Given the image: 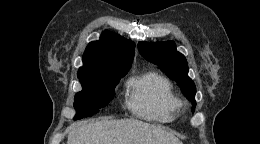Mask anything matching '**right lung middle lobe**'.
Segmentation results:
<instances>
[{
    "label": "right lung middle lobe",
    "instance_id": "dd1d6c3e",
    "mask_svg": "<svg viewBox=\"0 0 260 144\" xmlns=\"http://www.w3.org/2000/svg\"><path fill=\"white\" fill-rule=\"evenodd\" d=\"M128 71L108 72L78 76L82 85V91L76 93L74 119L90 117L100 108L109 104L114 96V89L121 77Z\"/></svg>",
    "mask_w": 260,
    "mask_h": 144
}]
</instances>
